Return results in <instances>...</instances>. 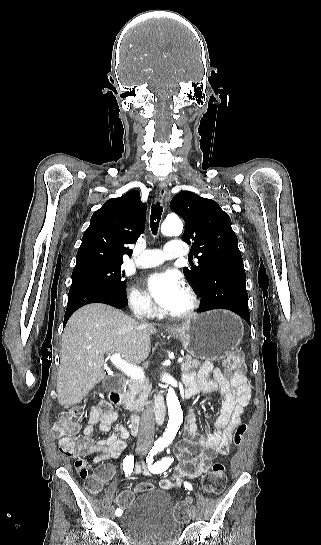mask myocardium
Instances as JSON below:
<instances>
[{
	"label": "myocardium",
	"instance_id": "myocardium-1",
	"mask_svg": "<svg viewBox=\"0 0 321 545\" xmlns=\"http://www.w3.org/2000/svg\"><path fill=\"white\" fill-rule=\"evenodd\" d=\"M184 291L188 294L191 304L190 307L183 311V312H177V313H168L169 316L173 318L178 319H186L193 316L200 308L201 301L199 298V295L197 292L190 286V285H184L183 287Z\"/></svg>",
	"mask_w": 321,
	"mask_h": 545
}]
</instances>
